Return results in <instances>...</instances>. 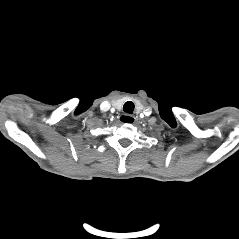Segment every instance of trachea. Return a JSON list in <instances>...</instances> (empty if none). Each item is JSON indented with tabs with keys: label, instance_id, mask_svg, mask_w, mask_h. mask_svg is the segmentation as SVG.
<instances>
[{
	"label": "trachea",
	"instance_id": "3493384b",
	"mask_svg": "<svg viewBox=\"0 0 239 239\" xmlns=\"http://www.w3.org/2000/svg\"><path fill=\"white\" fill-rule=\"evenodd\" d=\"M134 108H135V105H134V103L131 102V101H127V102L124 104V106H123L124 112L130 113V114L133 113Z\"/></svg>",
	"mask_w": 239,
	"mask_h": 239
}]
</instances>
